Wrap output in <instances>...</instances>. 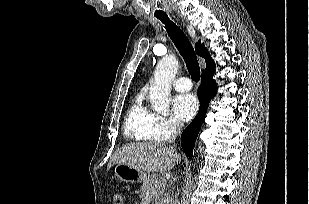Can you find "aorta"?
<instances>
[{
	"label": "aorta",
	"mask_w": 309,
	"mask_h": 204,
	"mask_svg": "<svg viewBox=\"0 0 309 204\" xmlns=\"http://www.w3.org/2000/svg\"><path fill=\"white\" fill-rule=\"evenodd\" d=\"M178 59L174 55L163 57L154 72V81L149 88L151 107L157 112H166L169 107L171 84L178 70Z\"/></svg>",
	"instance_id": "762f6f07"
}]
</instances>
